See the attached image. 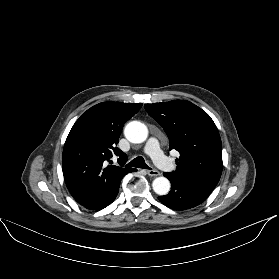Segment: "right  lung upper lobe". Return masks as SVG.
<instances>
[{
    "label": "right lung upper lobe",
    "mask_w": 279,
    "mask_h": 279,
    "mask_svg": "<svg viewBox=\"0 0 279 279\" xmlns=\"http://www.w3.org/2000/svg\"><path fill=\"white\" fill-rule=\"evenodd\" d=\"M140 103L102 102L87 110L73 125L64 145L62 170L73 198L82 206L105 198L121 179L136 169L123 167L127 156L116 145L124 123ZM113 155L120 166L112 164Z\"/></svg>",
    "instance_id": "1"
}]
</instances>
